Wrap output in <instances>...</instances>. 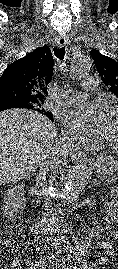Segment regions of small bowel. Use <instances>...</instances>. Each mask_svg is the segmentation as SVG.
<instances>
[{
	"mask_svg": "<svg viewBox=\"0 0 118 269\" xmlns=\"http://www.w3.org/2000/svg\"><path fill=\"white\" fill-rule=\"evenodd\" d=\"M113 205H114V209H115V217L118 221V191H116L114 194H113ZM112 240L118 242V230L116 231H113L111 234H110ZM100 247L103 248L104 250H106L110 255H112V252H111V247L110 245L105 242V241H101L99 243ZM112 257V256H111Z\"/></svg>",
	"mask_w": 118,
	"mask_h": 269,
	"instance_id": "small-bowel-1",
	"label": "small bowel"
}]
</instances>
